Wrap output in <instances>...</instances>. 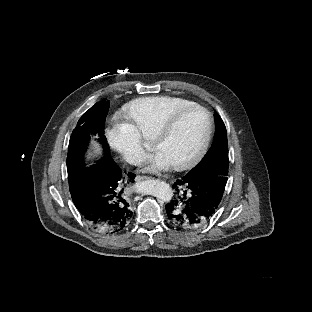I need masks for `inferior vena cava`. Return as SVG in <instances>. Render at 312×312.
<instances>
[{
  "instance_id": "1",
  "label": "inferior vena cava",
  "mask_w": 312,
  "mask_h": 312,
  "mask_svg": "<svg viewBox=\"0 0 312 312\" xmlns=\"http://www.w3.org/2000/svg\"><path fill=\"white\" fill-rule=\"evenodd\" d=\"M143 158H144L143 154H136L132 156L131 164L138 165L143 160Z\"/></svg>"
}]
</instances>
